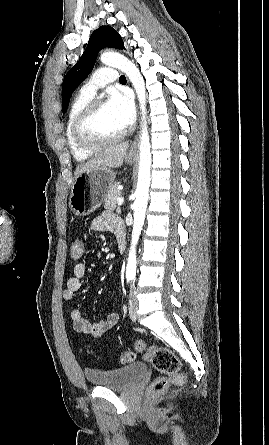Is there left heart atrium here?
Returning <instances> with one entry per match:
<instances>
[{
    "label": "left heart atrium",
    "instance_id": "obj_1",
    "mask_svg": "<svg viewBox=\"0 0 269 445\" xmlns=\"http://www.w3.org/2000/svg\"><path fill=\"white\" fill-rule=\"evenodd\" d=\"M106 103L124 128L133 124L136 113L134 102L130 95L114 91Z\"/></svg>",
    "mask_w": 269,
    "mask_h": 445
}]
</instances>
